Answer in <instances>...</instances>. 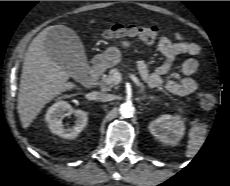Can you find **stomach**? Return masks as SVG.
Instances as JSON below:
<instances>
[{
	"instance_id": "0dacf381",
	"label": "stomach",
	"mask_w": 230,
	"mask_h": 186,
	"mask_svg": "<svg viewBox=\"0 0 230 186\" xmlns=\"http://www.w3.org/2000/svg\"><path fill=\"white\" fill-rule=\"evenodd\" d=\"M122 46L128 48L131 46L129 41H122ZM121 52L117 47H109L101 55L96 56V61L100 63L103 67H112L120 63Z\"/></svg>"
}]
</instances>
